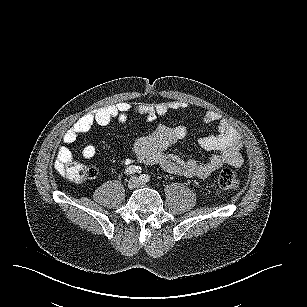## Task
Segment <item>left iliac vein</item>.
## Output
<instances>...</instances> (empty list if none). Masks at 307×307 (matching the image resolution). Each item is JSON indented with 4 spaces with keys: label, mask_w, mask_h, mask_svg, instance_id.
I'll return each mask as SVG.
<instances>
[{
    "label": "left iliac vein",
    "mask_w": 307,
    "mask_h": 307,
    "mask_svg": "<svg viewBox=\"0 0 307 307\" xmlns=\"http://www.w3.org/2000/svg\"><path fill=\"white\" fill-rule=\"evenodd\" d=\"M139 185H141V186H145V184H144V183H141V184H139Z\"/></svg>",
    "instance_id": "obj_1"
}]
</instances>
